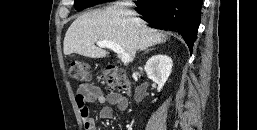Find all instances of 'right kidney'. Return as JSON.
<instances>
[{
  "instance_id": "1",
  "label": "right kidney",
  "mask_w": 257,
  "mask_h": 130,
  "mask_svg": "<svg viewBox=\"0 0 257 130\" xmlns=\"http://www.w3.org/2000/svg\"><path fill=\"white\" fill-rule=\"evenodd\" d=\"M172 66V59L162 54L152 56L145 64V72L148 78L158 85V91H161L170 76Z\"/></svg>"
}]
</instances>
